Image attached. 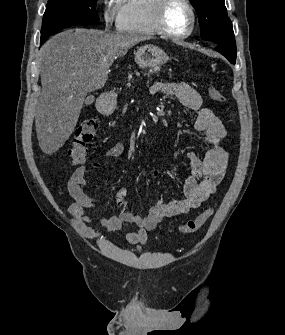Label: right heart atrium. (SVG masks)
<instances>
[{"label":"right heart atrium","mask_w":285,"mask_h":335,"mask_svg":"<svg viewBox=\"0 0 285 335\" xmlns=\"http://www.w3.org/2000/svg\"><path fill=\"white\" fill-rule=\"evenodd\" d=\"M101 15L103 22L107 27L115 24L119 19V11L117 7H114L107 2L102 5Z\"/></svg>","instance_id":"obj_1"}]
</instances>
